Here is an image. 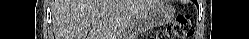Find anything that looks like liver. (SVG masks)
<instances>
[{"label": "liver", "instance_id": "6515ba94", "mask_svg": "<svg viewBox=\"0 0 249 39\" xmlns=\"http://www.w3.org/2000/svg\"><path fill=\"white\" fill-rule=\"evenodd\" d=\"M158 0H71L56 4V39H122L134 19ZM92 25V30H88Z\"/></svg>", "mask_w": 249, "mask_h": 39}]
</instances>
